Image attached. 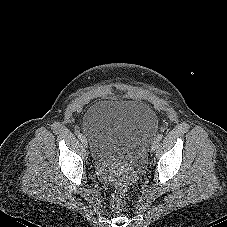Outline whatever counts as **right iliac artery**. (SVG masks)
<instances>
[{"label": "right iliac artery", "instance_id": "right-iliac-artery-1", "mask_svg": "<svg viewBox=\"0 0 227 227\" xmlns=\"http://www.w3.org/2000/svg\"><path fill=\"white\" fill-rule=\"evenodd\" d=\"M77 137H78L79 139H82V138H83L82 134H80V133L77 135Z\"/></svg>", "mask_w": 227, "mask_h": 227}]
</instances>
